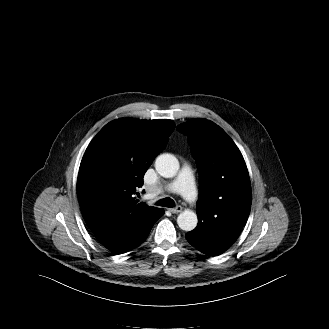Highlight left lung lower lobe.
<instances>
[{
	"instance_id": "1",
	"label": "left lung lower lobe",
	"mask_w": 329,
	"mask_h": 329,
	"mask_svg": "<svg viewBox=\"0 0 329 329\" xmlns=\"http://www.w3.org/2000/svg\"><path fill=\"white\" fill-rule=\"evenodd\" d=\"M243 226L228 223L219 234H210L195 228L186 234L188 242L208 256H217L226 251L238 238Z\"/></svg>"
}]
</instances>
